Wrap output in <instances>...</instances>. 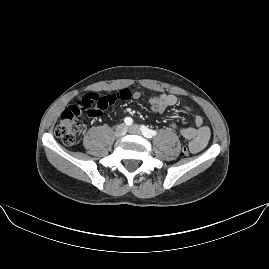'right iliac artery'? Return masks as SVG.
Masks as SVG:
<instances>
[{
	"instance_id": "obj_1",
	"label": "right iliac artery",
	"mask_w": 269,
	"mask_h": 269,
	"mask_svg": "<svg viewBox=\"0 0 269 269\" xmlns=\"http://www.w3.org/2000/svg\"><path fill=\"white\" fill-rule=\"evenodd\" d=\"M124 122H125V124H126L127 126H130V125H132L133 120H132L131 117H126V118L124 119Z\"/></svg>"
}]
</instances>
